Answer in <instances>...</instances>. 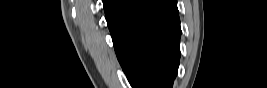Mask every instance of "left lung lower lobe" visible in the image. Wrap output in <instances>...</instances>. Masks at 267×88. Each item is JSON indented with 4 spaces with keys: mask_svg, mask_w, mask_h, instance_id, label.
Masks as SVG:
<instances>
[{
    "mask_svg": "<svg viewBox=\"0 0 267 88\" xmlns=\"http://www.w3.org/2000/svg\"><path fill=\"white\" fill-rule=\"evenodd\" d=\"M117 58L133 88H171L180 59L176 0H103Z\"/></svg>",
    "mask_w": 267,
    "mask_h": 88,
    "instance_id": "1",
    "label": "left lung lower lobe"
}]
</instances>
